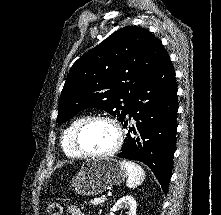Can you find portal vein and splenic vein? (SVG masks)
<instances>
[{
    "label": "portal vein and splenic vein",
    "instance_id": "portal-vein-and-splenic-vein-1",
    "mask_svg": "<svg viewBox=\"0 0 221 215\" xmlns=\"http://www.w3.org/2000/svg\"><path fill=\"white\" fill-rule=\"evenodd\" d=\"M107 196H111V194H108ZM107 196H103L104 198H107Z\"/></svg>",
    "mask_w": 221,
    "mask_h": 215
}]
</instances>
